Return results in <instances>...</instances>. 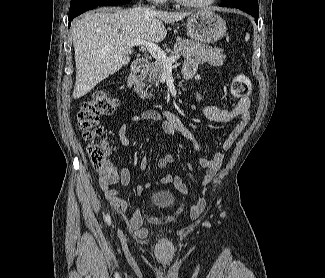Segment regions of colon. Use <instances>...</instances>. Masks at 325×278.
<instances>
[{"instance_id":"colon-1","label":"colon","mask_w":325,"mask_h":278,"mask_svg":"<svg viewBox=\"0 0 325 278\" xmlns=\"http://www.w3.org/2000/svg\"><path fill=\"white\" fill-rule=\"evenodd\" d=\"M251 87L250 80L245 75L238 74L233 78L231 91L234 96L241 98L251 93ZM118 105L119 101L106 92H96L79 104L76 114L77 124L83 138L89 142L87 154L95 168H101L111 152V146L107 141L96 142L103 133L99 117L112 113ZM199 210L200 206H197L194 214Z\"/></svg>"}]
</instances>
